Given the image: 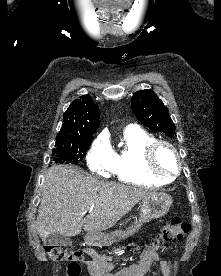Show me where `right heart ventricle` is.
<instances>
[{"instance_id": "e07e8e85", "label": "right heart ventricle", "mask_w": 221, "mask_h": 276, "mask_svg": "<svg viewBox=\"0 0 221 276\" xmlns=\"http://www.w3.org/2000/svg\"><path fill=\"white\" fill-rule=\"evenodd\" d=\"M155 138L147 131L130 126L123 132L120 148L115 152L113 173L120 182L134 185H161L169 182L152 176L145 168L144 149Z\"/></svg>"}]
</instances>
